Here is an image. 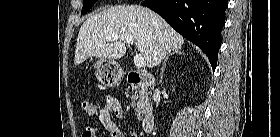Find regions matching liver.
<instances>
[{
	"label": "liver",
	"instance_id": "1",
	"mask_svg": "<svg viewBox=\"0 0 280 137\" xmlns=\"http://www.w3.org/2000/svg\"><path fill=\"white\" fill-rule=\"evenodd\" d=\"M112 35L131 36L149 68L157 66L168 53L181 48L185 41L150 9L137 5L114 6L92 15L80 27L75 65L90 57L107 60L122 58L126 53L125 41H106Z\"/></svg>",
	"mask_w": 280,
	"mask_h": 137
}]
</instances>
